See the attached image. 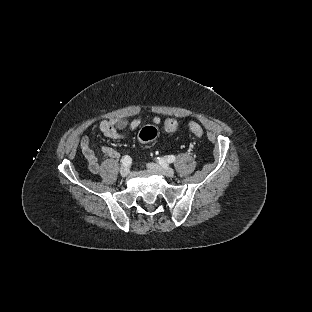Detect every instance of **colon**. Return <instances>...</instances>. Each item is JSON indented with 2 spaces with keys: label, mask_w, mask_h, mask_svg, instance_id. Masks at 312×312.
Here are the masks:
<instances>
[{
  "label": "colon",
  "mask_w": 312,
  "mask_h": 312,
  "mask_svg": "<svg viewBox=\"0 0 312 312\" xmlns=\"http://www.w3.org/2000/svg\"><path fill=\"white\" fill-rule=\"evenodd\" d=\"M176 127V122L174 120H168L166 122V130L168 132H173ZM188 128L190 131L194 132L196 135H202L204 133V128L200 124L194 122L189 123ZM158 131L155 126H146L140 130L137 134V139L139 141L148 142L156 138Z\"/></svg>",
  "instance_id": "1"
}]
</instances>
